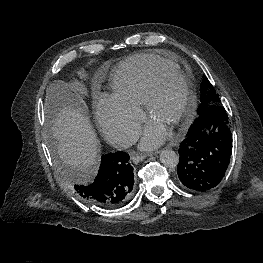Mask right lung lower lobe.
<instances>
[{
    "instance_id": "right-lung-lower-lobe-1",
    "label": "right lung lower lobe",
    "mask_w": 263,
    "mask_h": 263,
    "mask_svg": "<svg viewBox=\"0 0 263 263\" xmlns=\"http://www.w3.org/2000/svg\"><path fill=\"white\" fill-rule=\"evenodd\" d=\"M101 159L94 182L88 185L75 184L74 190L87 203L104 208L121 206L131 197L134 185L129 155L118 151L103 155Z\"/></svg>"
}]
</instances>
